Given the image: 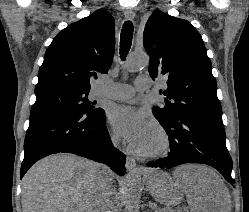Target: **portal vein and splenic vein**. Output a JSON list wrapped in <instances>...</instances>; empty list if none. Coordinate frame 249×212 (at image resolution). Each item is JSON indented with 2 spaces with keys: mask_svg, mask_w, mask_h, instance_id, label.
<instances>
[{
  "mask_svg": "<svg viewBox=\"0 0 249 212\" xmlns=\"http://www.w3.org/2000/svg\"><path fill=\"white\" fill-rule=\"evenodd\" d=\"M164 212H165V210H164ZM171 212H176V210H171Z\"/></svg>",
  "mask_w": 249,
  "mask_h": 212,
  "instance_id": "portal-vein-and-splenic-vein-1",
  "label": "portal vein and splenic vein"
}]
</instances>
